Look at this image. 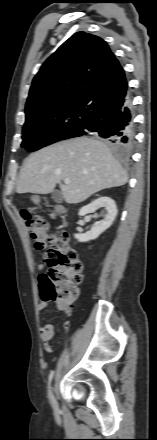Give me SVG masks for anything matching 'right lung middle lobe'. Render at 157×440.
<instances>
[{"mask_svg": "<svg viewBox=\"0 0 157 440\" xmlns=\"http://www.w3.org/2000/svg\"><path fill=\"white\" fill-rule=\"evenodd\" d=\"M83 131L84 125L70 126L39 120L26 121L23 126L21 146L27 151H36L57 141L81 136Z\"/></svg>", "mask_w": 157, "mask_h": 440, "instance_id": "1", "label": "right lung middle lobe"}]
</instances>
